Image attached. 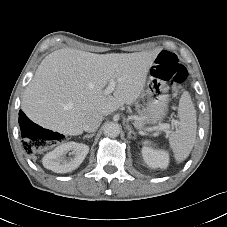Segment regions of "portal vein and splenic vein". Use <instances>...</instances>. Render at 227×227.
<instances>
[{"mask_svg": "<svg viewBox=\"0 0 227 227\" xmlns=\"http://www.w3.org/2000/svg\"><path fill=\"white\" fill-rule=\"evenodd\" d=\"M115 86H116V82L113 79H111L108 86L105 88L104 93L106 95L111 94L115 90ZM174 124L177 125L178 121L175 120ZM155 129H158V130H161V131L168 130V129H170V124L163 123V124L155 127Z\"/></svg>", "mask_w": 227, "mask_h": 227, "instance_id": "portal-vein-and-splenic-vein-1", "label": "portal vein and splenic vein"}]
</instances>
